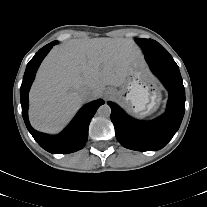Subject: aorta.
<instances>
[{"label": "aorta", "mask_w": 207, "mask_h": 207, "mask_svg": "<svg viewBox=\"0 0 207 207\" xmlns=\"http://www.w3.org/2000/svg\"><path fill=\"white\" fill-rule=\"evenodd\" d=\"M98 114L102 117H109L111 114V108L109 105L104 104L98 108Z\"/></svg>", "instance_id": "aorta-1"}]
</instances>
